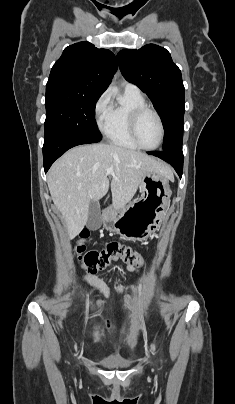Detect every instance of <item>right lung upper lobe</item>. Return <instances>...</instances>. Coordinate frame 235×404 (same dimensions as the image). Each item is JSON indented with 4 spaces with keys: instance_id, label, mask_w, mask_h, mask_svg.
<instances>
[{
    "instance_id": "1",
    "label": "right lung upper lobe",
    "mask_w": 235,
    "mask_h": 404,
    "mask_svg": "<svg viewBox=\"0 0 235 404\" xmlns=\"http://www.w3.org/2000/svg\"><path fill=\"white\" fill-rule=\"evenodd\" d=\"M117 69L115 55L89 42L66 47L51 69L46 88L60 87L87 95L101 94Z\"/></svg>"
}]
</instances>
